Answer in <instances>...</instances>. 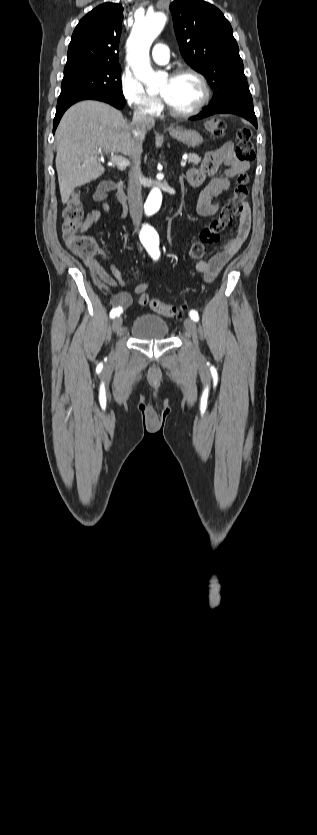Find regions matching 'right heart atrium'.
Segmentation results:
<instances>
[{"label": "right heart atrium", "mask_w": 317, "mask_h": 835, "mask_svg": "<svg viewBox=\"0 0 317 835\" xmlns=\"http://www.w3.org/2000/svg\"><path fill=\"white\" fill-rule=\"evenodd\" d=\"M121 94L127 104L138 114L156 116L160 113V100L148 94L140 81L130 72H123L120 77Z\"/></svg>", "instance_id": "1"}]
</instances>
